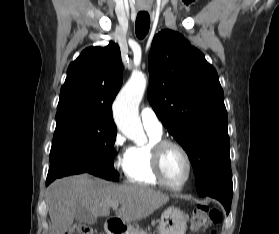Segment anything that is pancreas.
<instances>
[{
  "label": "pancreas",
  "mask_w": 279,
  "mask_h": 234,
  "mask_svg": "<svg viewBox=\"0 0 279 234\" xmlns=\"http://www.w3.org/2000/svg\"><path fill=\"white\" fill-rule=\"evenodd\" d=\"M129 234H147V233L142 229H133Z\"/></svg>",
  "instance_id": "pancreas-1"
}]
</instances>
